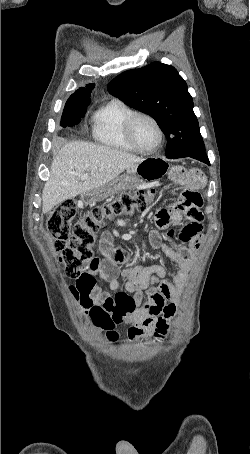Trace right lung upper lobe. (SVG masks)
I'll return each instance as SVG.
<instances>
[{"instance_id":"obj_1","label":"right lung upper lobe","mask_w":250,"mask_h":454,"mask_svg":"<svg viewBox=\"0 0 250 454\" xmlns=\"http://www.w3.org/2000/svg\"><path fill=\"white\" fill-rule=\"evenodd\" d=\"M94 88V84H88L86 88H79L72 94L66 102V105L77 103L90 102V92Z\"/></svg>"}]
</instances>
